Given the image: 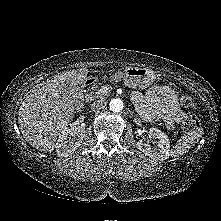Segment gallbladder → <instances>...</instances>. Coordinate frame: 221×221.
<instances>
[{"label": "gallbladder", "mask_w": 221, "mask_h": 221, "mask_svg": "<svg viewBox=\"0 0 221 221\" xmlns=\"http://www.w3.org/2000/svg\"><path fill=\"white\" fill-rule=\"evenodd\" d=\"M64 90L66 92L63 93V96H67L71 101H73V104L77 105L81 103L82 92L78 85L67 83Z\"/></svg>", "instance_id": "gallbladder-1"}]
</instances>
